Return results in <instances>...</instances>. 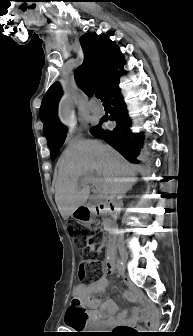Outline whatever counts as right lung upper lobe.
I'll use <instances>...</instances> for the list:
<instances>
[{"mask_svg":"<svg viewBox=\"0 0 193 336\" xmlns=\"http://www.w3.org/2000/svg\"><path fill=\"white\" fill-rule=\"evenodd\" d=\"M80 44L85 58L82 65L75 70V81L84 92H90V95L97 89L105 95L119 75L118 69L124 63L123 56L114 42L104 35L85 34L80 37ZM61 95L62 90L56 82L42 100L40 118L44 124L43 131L47 142L66 131L57 118Z\"/></svg>","mask_w":193,"mask_h":336,"instance_id":"obj_1","label":"right lung upper lobe"}]
</instances>
